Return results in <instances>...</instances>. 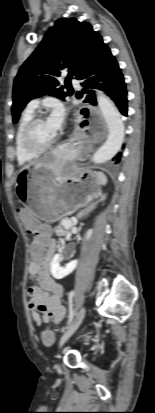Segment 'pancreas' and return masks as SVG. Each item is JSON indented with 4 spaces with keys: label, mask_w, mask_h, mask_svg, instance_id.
<instances>
[{
    "label": "pancreas",
    "mask_w": 155,
    "mask_h": 413,
    "mask_svg": "<svg viewBox=\"0 0 155 413\" xmlns=\"http://www.w3.org/2000/svg\"><path fill=\"white\" fill-rule=\"evenodd\" d=\"M56 232L58 236H63L67 233V230L63 228V221L60 223V225L56 228Z\"/></svg>",
    "instance_id": "1"
}]
</instances>
